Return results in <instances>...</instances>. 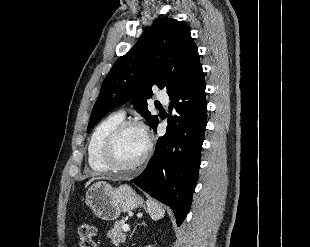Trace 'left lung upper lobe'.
<instances>
[{
    "label": "left lung upper lobe",
    "mask_w": 310,
    "mask_h": 247,
    "mask_svg": "<svg viewBox=\"0 0 310 247\" xmlns=\"http://www.w3.org/2000/svg\"><path fill=\"white\" fill-rule=\"evenodd\" d=\"M200 67L198 49L189 27L172 18L155 20L104 79L87 132L105 114L130 99L153 127L158 117L150 115L146 101L152 96V86L166 88L169 95Z\"/></svg>",
    "instance_id": "5c2ea615"
}]
</instances>
